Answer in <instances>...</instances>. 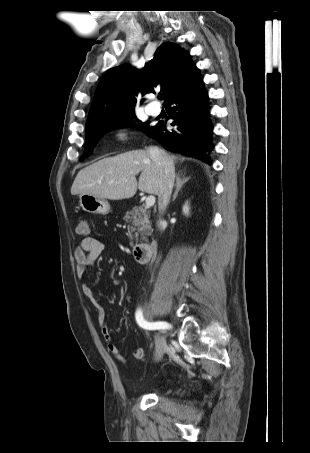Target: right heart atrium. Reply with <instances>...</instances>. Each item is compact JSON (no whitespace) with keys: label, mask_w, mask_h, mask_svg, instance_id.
<instances>
[{"label":"right heart atrium","mask_w":310,"mask_h":453,"mask_svg":"<svg viewBox=\"0 0 310 453\" xmlns=\"http://www.w3.org/2000/svg\"><path fill=\"white\" fill-rule=\"evenodd\" d=\"M116 137L120 140H123L126 137V133L124 131H120L116 134Z\"/></svg>","instance_id":"1"}]
</instances>
